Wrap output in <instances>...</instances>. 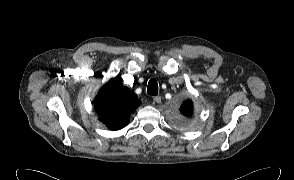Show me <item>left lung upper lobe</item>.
<instances>
[{"label":"left lung upper lobe","instance_id":"obj_1","mask_svg":"<svg viewBox=\"0 0 294 180\" xmlns=\"http://www.w3.org/2000/svg\"><path fill=\"white\" fill-rule=\"evenodd\" d=\"M180 113L185 117H191L193 114V105L190 100L185 101L180 107Z\"/></svg>","mask_w":294,"mask_h":180}]
</instances>
